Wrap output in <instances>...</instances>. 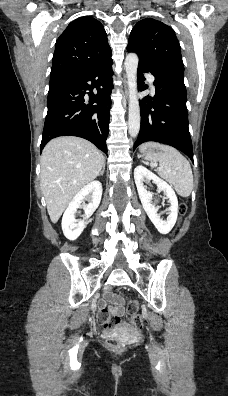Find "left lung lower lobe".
<instances>
[{
	"label": "left lung lower lobe",
	"instance_id": "obj_1",
	"mask_svg": "<svg viewBox=\"0 0 228 396\" xmlns=\"http://www.w3.org/2000/svg\"><path fill=\"white\" fill-rule=\"evenodd\" d=\"M142 72L155 77L153 98L145 96L140 101L141 127L134 150L148 141L175 147L193 161L192 141L188 128L187 93L184 77L172 73L155 72L138 65L139 89L145 80Z\"/></svg>",
	"mask_w": 228,
	"mask_h": 396
}]
</instances>
